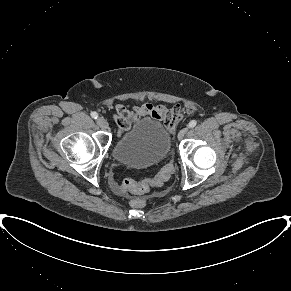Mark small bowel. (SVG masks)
<instances>
[{
  "instance_id": "small-bowel-1",
  "label": "small bowel",
  "mask_w": 291,
  "mask_h": 291,
  "mask_svg": "<svg viewBox=\"0 0 291 291\" xmlns=\"http://www.w3.org/2000/svg\"><path fill=\"white\" fill-rule=\"evenodd\" d=\"M182 112L183 108L180 104L167 108L163 105L155 106L151 103H145L140 106L135 105L131 109L117 104L114 119L118 127V136H121L123 132L131 128L133 123L145 116L161 122L169 132H172L181 121Z\"/></svg>"
}]
</instances>
